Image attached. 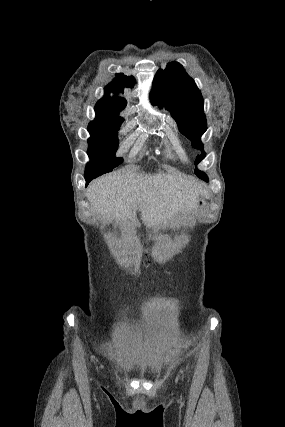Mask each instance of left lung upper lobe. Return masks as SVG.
<instances>
[{
  "instance_id": "5c2ea615",
  "label": "left lung upper lobe",
  "mask_w": 285,
  "mask_h": 427,
  "mask_svg": "<svg viewBox=\"0 0 285 427\" xmlns=\"http://www.w3.org/2000/svg\"><path fill=\"white\" fill-rule=\"evenodd\" d=\"M150 101L153 105L164 106L170 111L178 128L192 145L202 151L196 157L198 164L206 156L200 137L207 130L204 114V101L202 94L194 80L185 72L182 65L172 62L165 70L159 69L153 80V90L150 93ZM195 174L208 181L207 175L199 170Z\"/></svg>"
}]
</instances>
